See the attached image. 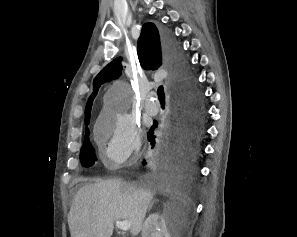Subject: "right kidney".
<instances>
[{"mask_svg":"<svg viewBox=\"0 0 297 237\" xmlns=\"http://www.w3.org/2000/svg\"><path fill=\"white\" fill-rule=\"evenodd\" d=\"M142 237H171L164 217L159 213L150 214L143 224Z\"/></svg>","mask_w":297,"mask_h":237,"instance_id":"1","label":"right kidney"}]
</instances>
